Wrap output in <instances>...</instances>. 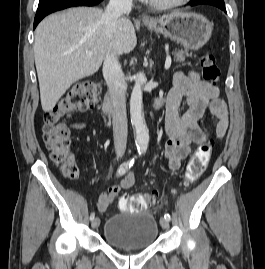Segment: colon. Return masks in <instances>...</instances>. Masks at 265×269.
Wrapping results in <instances>:
<instances>
[{"instance_id":"obj_1","label":"colon","mask_w":265,"mask_h":269,"mask_svg":"<svg viewBox=\"0 0 265 269\" xmlns=\"http://www.w3.org/2000/svg\"><path fill=\"white\" fill-rule=\"evenodd\" d=\"M204 80L212 85L220 81L221 71L212 54H205L200 62ZM99 88L96 83L88 82L72 88L55 107L44 116L43 140L50 151L51 160L60 165L63 175L73 180L78 177V168L70 151L69 129L65 119L77 111H86L94 107ZM211 155V144H201L186 167L184 186L193 184L204 172ZM151 194L124 195L119 200V208L124 212H138L156 201Z\"/></svg>"}]
</instances>
